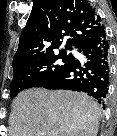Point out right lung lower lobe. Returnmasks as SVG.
I'll use <instances>...</instances> for the list:
<instances>
[{
    "instance_id": "right-lung-lower-lobe-1",
    "label": "right lung lower lobe",
    "mask_w": 117,
    "mask_h": 136,
    "mask_svg": "<svg viewBox=\"0 0 117 136\" xmlns=\"http://www.w3.org/2000/svg\"><path fill=\"white\" fill-rule=\"evenodd\" d=\"M78 51L86 57V62L73 57L64 69L38 87L81 91L104 107L110 79L109 44L104 26L88 37L78 47Z\"/></svg>"
}]
</instances>
